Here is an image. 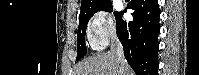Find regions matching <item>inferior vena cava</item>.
I'll return each mask as SVG.
<instances>
[{
  "label": "inferior vena cava",
  "instance_id": "inferior-vena-cava-1",
  "mask_svg": "<svg viewBox=\"0 0 199 75\" xmlns=\"http://www.w3.org/2000/svg\"><path fill=\"white\" fill-rule=\"evenodd\" d=\"M111 51L115 53L117 60L121 64L126 63V60H125V57H124L123 47H122V45H121V43L118 39H116L114 44H112Z\"/></svg>",
  "mask_w": 199,
  "mask_h": 75
}]
</instances>
